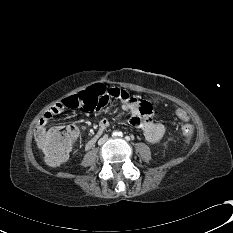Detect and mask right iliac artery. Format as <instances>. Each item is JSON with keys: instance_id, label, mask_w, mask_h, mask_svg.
<instances>
[{"instance_id": "82829eb1", "label": "right iliac artery", "mask_w": 233, "mask_h": 233, "mask_svg": "<svg viewBox=\"0 0 233 233\" xmlns=\"http://www.w3.org/2000/svg\"><path fill=\"white\" fill-rule=\"evenodd\" d=\"M118 133L117 132H113L112 136H117Z\"/></svg>"}]
</instances>
